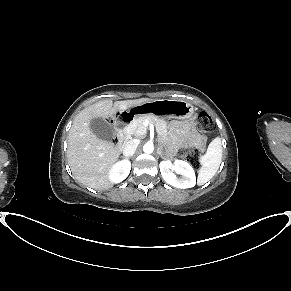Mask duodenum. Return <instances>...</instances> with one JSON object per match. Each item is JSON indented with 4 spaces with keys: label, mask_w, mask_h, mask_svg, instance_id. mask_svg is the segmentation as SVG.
<instances>
[{
    "label": "duodenum",
    "mask_w": 291,
    "mask_h": 291,
    "mask_svg": "<svg viewBox=\"0 0 291 291\" xmlns=\"http://www.w3.org/2000/svg\"><path fill=\"white\" fill-rule=\"evenodd\" d=\"M141 113L142 112L139 108H133L128 114H126L123 120L119 123L117 130L121 144L127 142V140L129 139V132L127 130V126L130 125L134 121L135 117Z\"/></svg>",
    "instance_id": "duodenum-1"
}]
</instances>
